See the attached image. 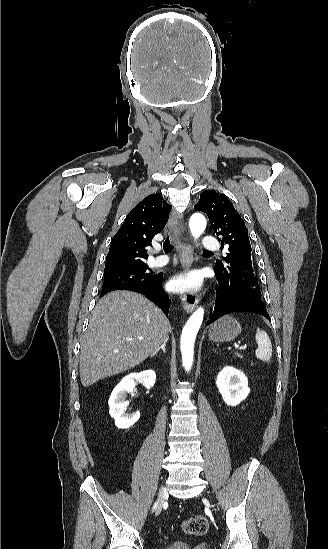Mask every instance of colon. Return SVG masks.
Wrapping results in <instances>:
<instances>
[{
  "instance_id": "1",
  "label": "colon",
  "mask_w": 328,
  "mask_h": 549,
  "mask_svg": "<svg viewBox=\"0 0 328 549\" xmlns=\"http://www.w3.org/2000/svg\"><path fill=\"white\" fill-rule=\"evenodd\" d=\"M182 529L188 535L201 536L208 530V520L201 514L193 515L183 522Z\"/></svg>"
}]
</instances>
